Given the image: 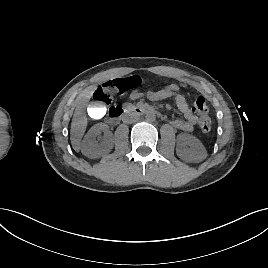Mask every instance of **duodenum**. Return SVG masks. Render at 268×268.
<instances>
[{
	"label": "duodenum",
	"instance_id": "410a0bca",
	"mask_svg": "<svg viewBox=\"0 0 268 268\" xmlns=\"http://www.w3.org/2000/svg\"><path fill=\"white\" fill-rule=\"evenodd\" d=\"M156 113L157 112L153 108L146 105H134L128 107L116 105L109 108L108 118L110 122L118 123L128 114L143 115V114H156Z\"/></svg>",
	"mask_w": 268,
	"mask_h": 268
}]
</instances>
